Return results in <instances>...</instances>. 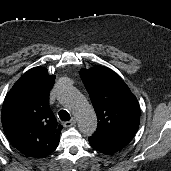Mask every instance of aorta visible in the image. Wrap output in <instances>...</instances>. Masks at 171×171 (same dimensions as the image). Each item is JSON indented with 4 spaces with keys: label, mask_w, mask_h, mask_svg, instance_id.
Returning a JSON list of instances; mask_svg holds the SVG:
<instances>
[{
    "label": "aorta",
    "mask_w": 171,
    "mask_h": 171,
    "mask_svg": "<svg viewBox=\"0 0 171 171\" xmlns=\"http://www.w3.org/2000/svg\"><path fill=\"white\" fill-rule=\"evenodd\" d=\"M59 101L77 118L78 128L84 135H92L97 129V116L90 103L73 86L64 85L58 92Z\"/></svg>",
    "instance_id": "obj_1"
}]
</instances>
